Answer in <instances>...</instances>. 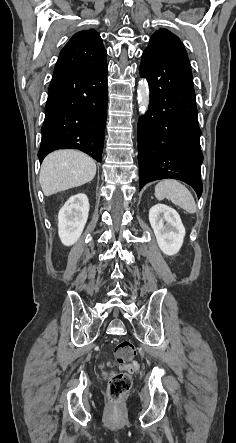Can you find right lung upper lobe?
Instances as JSON below:
<instances>
[{
  "label": "right lung upper lobe",
  "mask_w": 236,
  "mask_h": 443,
  "mask_svg": "<svg viewBox=\"0 0 236 443\" xmlns=\"http://www.w3.org/2000/svg\"><path fill=\"white\" fill-rule=\"evenodd\" d=\"M106 54L99 33L83 30L74 34L61 50L55 68L97 69L106 64Z\"/></svg>",
  "instance_id": "right-lung-upper-lobe-1"
}]
</instances>
